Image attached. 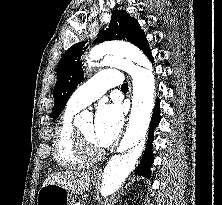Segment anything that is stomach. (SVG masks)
Returning a JSON list of instances; mask_svg holds the SVG:
<instances>
[{"instance_id":"0dacf381","label":"stomach","mask_w":222,"mask_h":205,"mask_svg":"<svg viewBox=\"0 0 222 205\" xmlns=\"http://www.w3.org/2000/svg\"><path fill=\"white\" fill-rule=\"evenodd\" d=\"M91 178L95 181V174ZM37 205H73V196L60 185L47 184L38 192Z\"/></svg>"}]
</instances>
